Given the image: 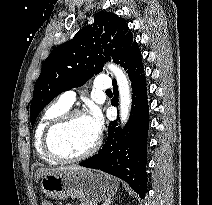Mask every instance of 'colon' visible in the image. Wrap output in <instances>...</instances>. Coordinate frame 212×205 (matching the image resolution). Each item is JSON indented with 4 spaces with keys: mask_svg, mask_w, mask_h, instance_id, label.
<instances>
[{
    "mask_svg": "<svg viewBox=\"0 0 212 205\" xmlns=\"http://www.w3.org/2000/svg\"><path fill=\"white\" fill-rule=\"evenodd\" d=\"M41 205H54V204L50 199L44 198L41 202Z\"/></svg>",
    "mask_w": 212,
    "mask_h": 205,
    "instance_id": "1",
    "label": "colon"
}]
</instances>
